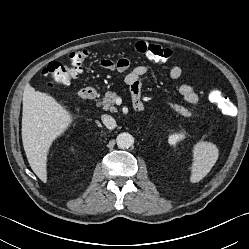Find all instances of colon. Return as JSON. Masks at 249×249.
Here are the masks:
<instances>
[{
  "instance_id": "1",
  "label": "colon",
  "mask_w": 249,
  "mask_h": 249,
  "mask_svg": "<svg viewBox=\"0 0 249 249\" xmlns=\"http://www.w3.org/2000/svg\"><path fill=\"white\" fill-rule=\"evenodd\" d=\"M136 51L147 59L164 63L172 57V51L160 45L151 44L140 41L136 44ZM88 58V53L85 50H77L70 54L68 64L61 62L50 63L41 73V77L45 78L49 85L66 84L72 79L78 77L84 67V63ZM119 65L118 61H108L107 64ZM209 100L216 104L222 114L227 116L225 107L228 104L226 97L217 88L210 89L208 93Z\"/></svg>"
}]
</instances>
